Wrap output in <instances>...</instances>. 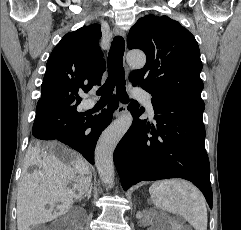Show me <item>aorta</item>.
<instances>
[{
  "mask_svg": "<svg viewBox=\"0 0 241 230\" xmlns=\"http://www.w3.org/2000/svg\"><path fill=\"white\" fill-rule=\"evenodd\" d=\"M127 62L132 68L141 69L146 63L143 52H129L126 56ZM133 117L130 113L123 115L114 121L101 135L95 151V163L101 181L111 187L114 181L113 153L121 138L131 127Z\"/></svg>",
  "mask_w": 241,
  "mask_h": 230,
  "instance_id": "obj_1",
  "label": "aorta"
}]
</instances>
